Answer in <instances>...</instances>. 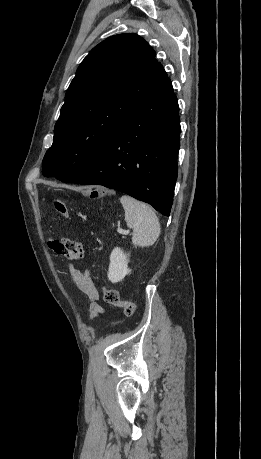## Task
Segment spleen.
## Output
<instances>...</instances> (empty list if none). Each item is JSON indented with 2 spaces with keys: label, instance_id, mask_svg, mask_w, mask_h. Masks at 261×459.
Here are the masks:
<instances>
[{
  "label": "spleen",
  "instance_id": "obj_1",
  "mask_svg": "<svg viewBox=\"0 0 261 459\" xmlns=\"http://www.w3.org/2000/svg\"><path fill=\"white\" fill-rule=\"evenodd\" d=\"M120 202L127 226L133 228L132 243L140 247L153 245L160 235L159 219L153 209L127 195L121 196Z\"/></svg>",
  "mask_w": 261,
  "mask_h": 459
}]
</instances>
